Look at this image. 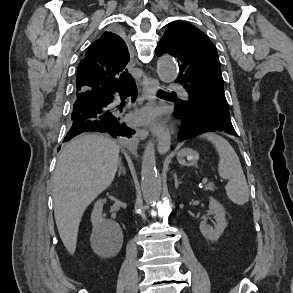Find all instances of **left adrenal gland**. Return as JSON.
<instances>
[{"label": "left adrenal gland", "mask_w": 293, "mask_h": 293, "mask_svg": "<svg viewBox=\"0 0 293 293\" xmlns=\"http://www.w3.org/2000/svg\"><path fill=\"white\" fill-rule=\"evenodd\" d=\"M173 177H174V182H175V188L177 189L181 182L178 181L176 174H174Z\"/></svg>", "instance_id": "1"}]
</instances>
